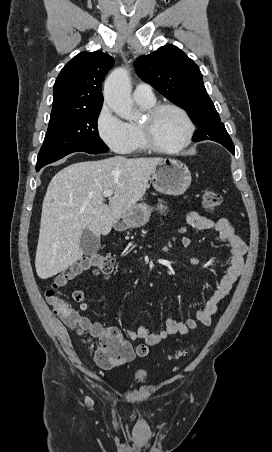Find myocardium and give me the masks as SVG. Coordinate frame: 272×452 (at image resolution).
<instances>
[{"label":"myocardium","instance_id":"myocardium-1","mask_svg":"<svg viewBox=\"0 0 272 452\" xmlns=\"http://www.w3.org/2000/svg\"><path fill=\"white\" fill-rule=\"evenodd\" d=\"M164 109H171L179 113L182 118L184 119L185 125H186V132L185 135L180 143H178L175 146L168 147V146H162L159 145L157 142H155L151 136V129H150V123L152 119L162 110ZM140 133L141 137L143 139V142L145 146L153 151L160 152V153H168L173 154L177 153L184 148H186L189 143L191 142L193 135H194V124L192 119L190 118L189 114L186 112L185 109H183L181 106L174 104V103H160L153 105L149 109L146 110L145 114V120L139 123Z\"/></svg>","mask_w":272,"mask_h":452}]
</instances>
